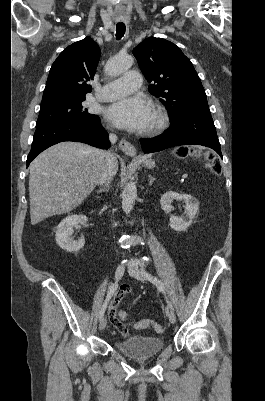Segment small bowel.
I'll return each mask as SVG.
<instances>
[{"label": "small bowel", "instance_id": "c3829d8e", "mask_svg": "<svg viewBox=\"0 0 265 401\" xmlns=\"http://www.w3.org/2000/svg\"><path fill=\"white\" fill-rule=\"evenodd\" d=\"M129 293H131L130 287H129V286H122V287L118 290V292L116 293V295H115V297H114V299H113V301H112V303H111L109 313L114 312V311L117 309V306H118V304L120 303L121 299H122L125 295H127V294H129Z\"/></svg>", "mask_w": 265, "mask_h": 401}]
</instances>
